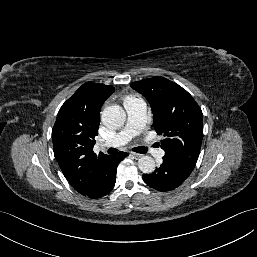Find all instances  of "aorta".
Wrapping results in <instances>:
<instances>
[{"instance_id":"obj_1","label":"aorta","mask_w":257,"mask_h":257,"mask_svg":"<svg viewBox=\"0 0 257 257\" xmlns=\"http://www.w3.org/2000/svg\"><path fill=\"white\" fill-rule=\"evenodd\" d=\"M101 119L106 127L118 129L124 125L126 113L119 105H112L103 110ZM138 167L143 173L150 174L155 170L156 164L152 157L142 156L138 160Z\"/></svg>"}]
</instances>
